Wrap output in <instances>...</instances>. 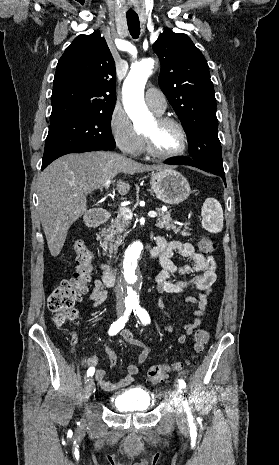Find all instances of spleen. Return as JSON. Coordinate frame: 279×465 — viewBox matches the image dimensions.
Masks as SVG:
<instances>
[{
	"instance_id": "obj_1",
	"label": "spleen",
	"mask_w": 279,
	"mask_h": 465,
	"mask_svg": "<svg viewBox=\"0 0 279 465\" xmlns=\"http://www.w3.org/2000/svg\"><path fill=\"white\" fill-rule=\"evenodd\" d=\"M202 226L209 232L218 233L223 228V210L220 203L213 199L208 198L205 200L202 211Z\"/></svg>"
}]
</instances>
